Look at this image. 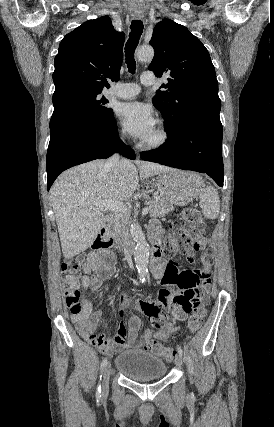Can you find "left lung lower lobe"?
Instances as JSON below:
<instances>
[{"label":"left lung lower lobe","mask_w":274,"mask_h":427,"mask_svg":"<svg viewBox=\"0 0 274 427\" xmlns=\"http://www.w3.org/2000/svg\"><path fill=\"white\" fill-rule=\"evenodd\" d=\"M141 158L163 165L207 173L223 186L222 124L220 119L196 117L154 151Z\"/></svg>","instance_id":"1"}]
</instances>
